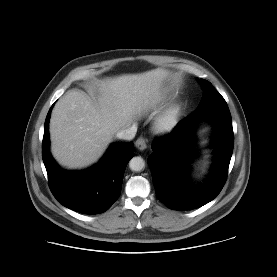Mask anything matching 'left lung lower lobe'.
Segmentation results:
<instances>
[{
  "label": "left lung lower lobe",
  "mask_w": 277,
  "mask_h": 277,
  "mask_svg": "<svg viewBox=\"0 0 277 277\" xmlns=\"http://www.w3.org/2000/svg\"><path fill=\"white\" fill-rule=\"evenodd\" d=\"M202 118L212 120L215 135V163L207 180L189 184L190 152L195 124ZM234 134L227 103H217L194 111L181 120L168 135L152 144L148 158L157 197L173 210H192L212 201L222 190L233 152Z\"/></svg>",
  "instance_id": "1"
}]
</instances>
